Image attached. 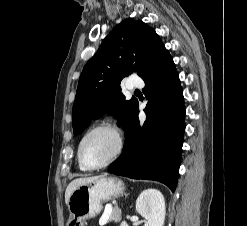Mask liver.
I'll return each instance as SVG.
<instances>
[{
  "label": "liver",
  "mask_w": 247,
  "mask_h": 226,
  "mask_svg": "<svg viewBox=\"0 0 247 226\" xmlns=\"http://www.w3.org/2000/svg\"><path fill=\"white\" fill-rule=\"evenodd\" d=\"M98 178V176L95 177H84V178H77L70 182L68 185L66 191H65V203L68 205L69 198L72 194V192L78 188L80 185H83L85 183H88L94 179Z\"/></svg>",
  "instance_id": "obj_1"
}]
</instances>
